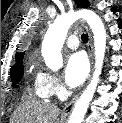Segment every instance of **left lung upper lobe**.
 <instances>
[{
	"instance_id": "1",
	"label": "left lung upper lobe",
	"mask_w": 122,
	"mask_h": 123,
	"mask_svg": "<svg viewBox=\"0 0 122 123\" xmlns=\"http://www.w3.org/2000/svg\"><path fill=\"white\" fill-rule=\"evenodd\" d=\"M75 3L80 7H88L89 2L87 0H74Z\"/></svg>"
}]
</instances>
